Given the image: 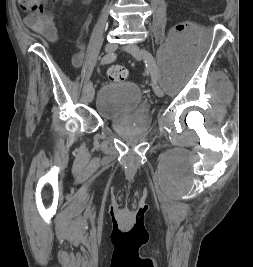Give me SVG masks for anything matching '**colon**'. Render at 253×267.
Listing matches in <instances>:
<instances>
[{
    "instance_id": "obj_1",
    "label": "colon",
    "mask_w": 253,
    "mask_h": 267,
    "mask_svg": "<svg viewBox=\"0 0 253 267\" xmlns=\"http://www.w3.org/2000/svg\"><path fill=\"white\" fill-rule=\"evenodd\" d=\"M55 3L57 0H18L19 6L22 10L40 14L44 11L46 3ZM109 79L114 82H121L126 80L128 71L126 68L120 65L112 66L108 71Z\"/></svg>"
}]
</instances>
